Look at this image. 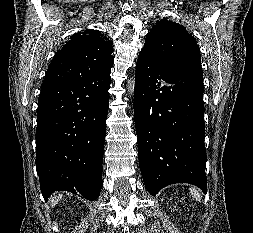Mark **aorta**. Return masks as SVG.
<instances>
[{
    "mask_svg": "<svg viewBox=\"0 0 253 233\" xmlns=\"http://www.w3.org/2000/svg\"><path fill=\"white\" fill-rule=\"evenodd\" d=\"M129 89H130V91H133V89H134V79L131 80V82L129 83Z\"/></svg>",
    "mask_w": 253,
    "mask_h": 233,
    "instance_id": "762f6f07",
    "label": "aorta"
}]
</instances>
